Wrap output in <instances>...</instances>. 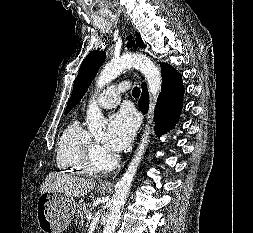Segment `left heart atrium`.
<instances>
[{"label":"left heart atrium","mask_w":253,"mask_h":233,"mask_svg":"<svg viewBox=\"0 0 253 233\" xmlns=\"http://www.w3.org/2000/svg\"><path fill=\"white\" fill-rule=\"evenodd\" d=\"M136 126L137 120L133 112L124 109L113 114L102 139L104 148L113 153L123 151L132 141Z\"/></svg>","instance_id":"1"}]
</instances>
